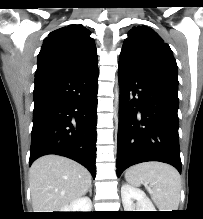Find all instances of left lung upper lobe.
<instances>
[{"label":"left lung upper lobe","mask_w":203,"mask_h":219,"mask_svg":"<svg viewBox=\"0 0 203 219\" xmlns=\"http://www.w3.org/2000/svg\"><path fill=\"white\" fill-rule=\"evenodd\" d=\"M119 63L178 84L177 64L169 45L149 27L137 26L129 31Z\"/></svg>","instance_id":"left-lung-upper-lobe-1"}]
</instances>
